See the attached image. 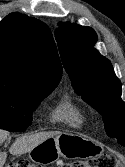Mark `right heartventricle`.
Listing matches in <instances>:
<instances>
[{
  "label": "right heart ventricle",
  "mask_w": 125,
  "mask_h": 167,
  "mask_svg": "<svg viewBox=\"0 0 125 167\" xmlns=\"http://www.w3.org/2000/svg\"><path fill=\"white\" fill-rule=\"evenodd\" d=\"M50 121L54 124H63L72 128H80L86 118L83 111L70 98H61L50 112Z\"/></svg>",
  "instance_id": "1"
}]
</instances>
